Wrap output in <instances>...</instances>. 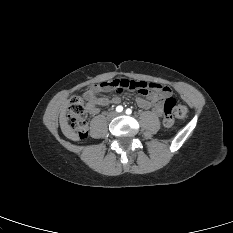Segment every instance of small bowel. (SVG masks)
<instances>
[{
    "instance_id": "obj_1",
    "label": "small bowel",
    "mask_w": 233,
    "mask_h": 233,
    "mask_svg": "<svg viewBox=\"0 0 233 233\" xmlns=\"http://www.w3.org/2000/svg\"><path fill=\"white\" fill-rule=\"evenodd\" d=\"M145 88V92H138L135 97L136 103L144 109H152L156 115L160 116L163 112L162 99L171 94V89L156 83H147L140 81ZM104 83L91 86L84 93L87 100V111L91 116L99 113V106H108L118 104L121 101L119 93L115 94L114 90L104 87Z\"/></svg>"
}]
</instances>
